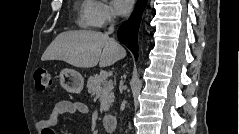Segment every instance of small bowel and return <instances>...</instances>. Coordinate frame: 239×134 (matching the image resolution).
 Segmentation results:
<instances>
[{"label":"small bowel","mask_w":239,"mask_h":134,"mask_svg":"<svg viewBox=\"0 0 239 134\" xmlns=\"http://www.w3.org/2000/svg\"><path fill=\"white\" fill-rule=\"evenodd\" d=\"M89 109L86 104L79 101H59L51 109L47 118L38 122V129L41 134H55L54 127L59 117L63 114H88Z\"/></svg>","instance_id":"obj_1"}]
</instances>
